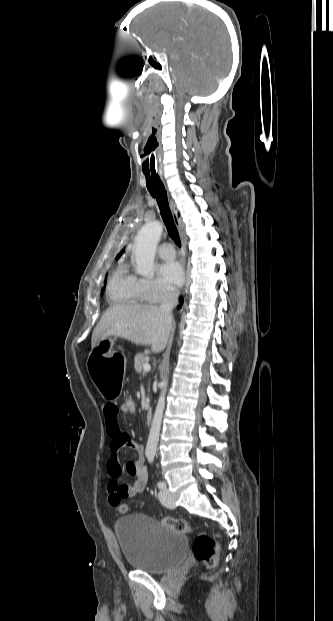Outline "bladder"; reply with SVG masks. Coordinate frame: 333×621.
I'll use <instances>...</instances> for the list:
<instances>
[{"label": "bladder", "mask_w": 333, "mask_h": 621, "mask_svg": "<svg viewBox=\"0 0 333 621\" xmlns=\"http://www.w3.org/2000/svg\"><path fill=\"white\" fill-rule=\"evenodd\" d=\"M115 532L130 568L153 575L167 573L183 562L188 538L144 514L119 518Z\"/></svg>", "instance_id": "31cf9c89"}]
</instances>
